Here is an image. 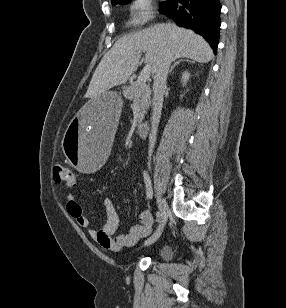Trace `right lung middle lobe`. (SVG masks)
<instances>
[{
    "mask_svg": "<svg viewBox=\"0 0 286 308\" xmlns=\"http://www.w3.org/2000/svg\"><path fill=\"white\" fill-rule=\"evenodd\" d=\"M130 1L131 0H116V1L112 2V5H117V4L124 5V4L129 3ZM162 5H163V3H162Z\"/></svg>",
    "mask_w": 286,
    "mask_h": 308,
    "instance_id": "dd1d6c3e",
    "label": "right lung middle lobe"
}]
</instances>
